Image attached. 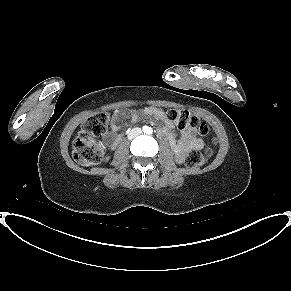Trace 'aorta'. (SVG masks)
<instances>
[{
    "mask_svg": "<svg viewBox=\"0 0 291 291\" xmlns=\"http://www.w3.org/2000/svg\"><path fill=\"white\" fill-rule=\"evenodd\" d=\"M144 132H145L146 134H151V133H152V128H151V127H148V126H145V127H144Z\"/></svg>",
    "mask_w": 291,
    "mask_h": 291,
    "instance_id": "aorta-1",
    "label": "aorta"
}]
</instances>
